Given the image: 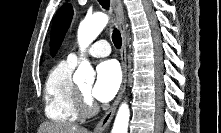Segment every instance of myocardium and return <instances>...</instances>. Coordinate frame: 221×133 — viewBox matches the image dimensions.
<instances>
[{
    "label": "myocardium",
    "instance_id": "1",
    "mask_svg": "<svg viewBox=\"0 0 221 133\" xmlns=\"http://www.w3.org/2000/svg\"><path fill=\"white\" fill-rule=\"evenodd\" d=\"M75 103L81 117H90L95 113V106L89 94H86L80 87H76Z\"/></svg>",
    "mask_w": 221,
    "mask_h": 133
}]
</instances>
